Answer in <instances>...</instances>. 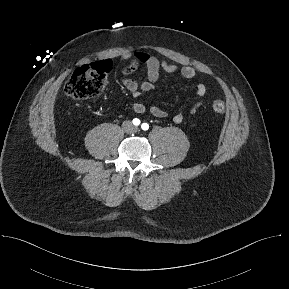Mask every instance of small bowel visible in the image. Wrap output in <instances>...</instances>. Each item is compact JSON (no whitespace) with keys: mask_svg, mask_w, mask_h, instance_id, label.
<instances>
[{"mask_svg":"<svg viewBox=\"0 0 289 289\" xmlns=\"http://www.w3.org/2000/svg\"><path fill=\"white\" fill-rule=\"evenodd\" d=\"M121 59L126 62V65L121 69L120 82L127 90L131 92L134 98H138L142 91H155L156 83L159 79L161 70L169 74L179 73L186 79H194L198 77L197 70L191 66H179L169 63L166 60H160L158 57L142 51L126 52L121 56ZM141 65L146 67V79L142 82H138L129 78L128 76L136 71ZM208 92L209 91L205 83L199 81L196 84V100L188 110L189 115L196 114L203 106L208 96ZM133 110L137 114H142L146 111V106L141 101H136L133 104ZM150 112L157 118L168 117V113L165 110L155 105L150 107ZM185 115V111L180 110L172 116V120L174 123L179 124L183 122Z\"/></svg>","mask_w":289,"mask_h":289,"instance_id":"obj_1","label":"small bowel"}]
</instances>
